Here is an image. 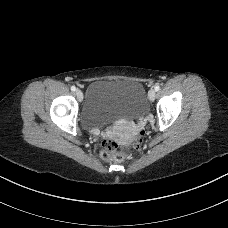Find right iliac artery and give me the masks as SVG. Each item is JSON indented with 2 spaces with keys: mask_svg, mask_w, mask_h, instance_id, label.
I'll return each instance as SVG.
<instances>
[{
  "mask_svg": "<svg viewBox=\"0 0 228 228\" xmlns=\"http://www.w3.org/2000/svg\"><path fill=\"white\" fill-rule=\"evenodd\" d=\"M71 90H72V91H75V90H76V87H75V86H72V87H71Z\"/></svg>",
  "mask_w": 228,
  "mask_h": 228,
  "instance_id": "obj_1",
  "label": "right iliac artery"
}]
</instances>
